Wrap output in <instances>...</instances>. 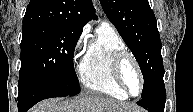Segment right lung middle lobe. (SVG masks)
Here are the masks:
<instances>
[{
	"mask_svg": "<svg viewBox=\"0 0 193 112\" xmlns=\"http://www.w3.org/2000/svg\"><path fill=\"white\" fill-rule=\"evenodd\" d=\"M82 29L42 26L22 31L19 93L42 89L52 97L80 92L73 56Z\"/></svg>",
	"mask_w": 193,
	"mask_h": 112,
	"instance_id": "obj_1",
	"label": "right lung middle lobe"
}]
</instances>
